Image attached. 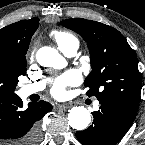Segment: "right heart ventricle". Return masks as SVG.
I'll list each match as a JSON object with an SVG mask.
<instances>
[{
  "mask_svg": "<svg viewBox=\"0 0 145 145\" xmlns=\"http://www.w3.org/2000/svg\"><path fill=\"white\" fill-rule=\"evenodd\" d=\"M51 35L57 42L58 46L63 44H69V43L78 44V39L69 32L55 30L51 33Z\"/></svg>",
  "mask_w": 145,
  "mask_h": 145,
  "instance_id": "right-heart-ventricle-1",
  "label": "right heart ventricle"
}]
</instances>
